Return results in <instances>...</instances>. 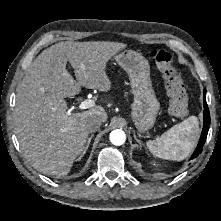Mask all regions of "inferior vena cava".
<instances>
[{"label": "inferior vena cava", "instance_id": "obj_1", "mask_svg": "<svg viewBox=\"0 0 221 221\" xmlns=\"http://www.w3.org/2000/svg\"><path fill=\"white\" fill-rule=\"evenodd\" d=\"M103 120L100 116L93 115L86 122V128L89 132H95L102 124Z\"/></svg>", "mask_w": 221, "mask_h": 221}]
</instances>
